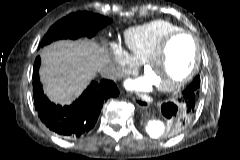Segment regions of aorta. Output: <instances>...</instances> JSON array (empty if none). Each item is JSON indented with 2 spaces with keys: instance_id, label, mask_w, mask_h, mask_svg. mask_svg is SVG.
<instances>
[{
  "instance_id": "1",
  "label": "aorta",
  "mask_w": 240,
  "mask_h": 160,
  "mask_svg": "<svg viewBox=\"0 0 240 160\" xmlns=\"http://www.w3.org/2000/svg\"><path fill=\"white\" fill-rule=\"evenodd\" d=\"M167 130V125L164 121L158 118L147 120L146 131L152 138H160Z\"/></svg>"
}]
</instances>
